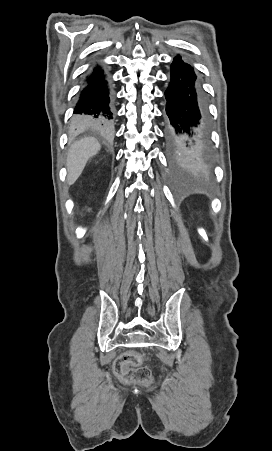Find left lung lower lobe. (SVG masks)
<instances>
[{"label": "left lung lower lobe", "mask_w": 272, "mask_h": 451, "mask_svg": "<svg viewBox=\"0 0 272 451\" xmlns=\"http://www.w3.org/2000/svg\"><path fill=\"white\" fill-rule=\"evenodd\" d=\"M166 139L171 161L178 166H207L205 110L193 66L178 55L171 63L165 90Z\"/></svg>", "instance_id": "obj_1"}]
</instances>
